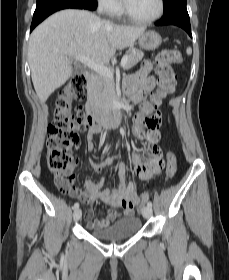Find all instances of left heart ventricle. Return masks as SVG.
I'll return each instance as SVG.
<instances>
[{
	"mask_svg": "<svg viewBox=\"0 0 229 280\" xmlns=\"http://www.w3.org/2000/svg\"><path fill=\"white\" fill-rule=\"evenodd\" d=\"M131 15L138 18H148L158 10V0H124Z\"/></svg>",
	"mask_w": 229,
	"mask_h": 280,
	"instance_id": "1",
	"label": "left heart ventricle"
}]
</instances>
